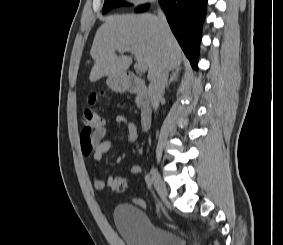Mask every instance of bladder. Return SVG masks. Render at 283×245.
<instances>
[{
  "instance_id": "obj_1",
  "label": "bladder",
  "mask_w": 283,
  "mask_h": 245,
  "mask_svg": "<svg viewBox=\"0 0 283 245\" xmlns=\"http://www.w3.org/2000/svg\"><path fill=\"white\" fill-rule=\"evenodd\" d=\"M113 218L126 245H185L181 236L153 224L138 206L120 203L114 208Z\"/></svg>"
}]
</instances>
